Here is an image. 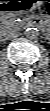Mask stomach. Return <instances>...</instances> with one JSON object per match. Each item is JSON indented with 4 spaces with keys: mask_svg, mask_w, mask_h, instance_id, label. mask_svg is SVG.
I'll list each match as a JSON object with an SVG mask.
<instances>
[{
    "mask_svg": "<svg viewBox=\"0 0 50 111\" xmlns=\"http://www.w3.org/2000/svg\"><path fill=\"white\" fill-rule=\"evenodd\" d=\"M40 4V0H4L0 3V10L5 16L12 17L30 12Z\"/></svg>",
    "mask_w": 50,
    "mask_h": 111,
    "instance_id": "stomach-1",
    "label": "stomach"
}]
</instances>
